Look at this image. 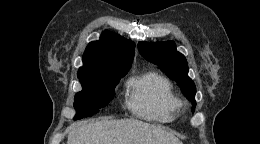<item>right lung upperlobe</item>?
<instances>
[{"instance_id":"cb5924a9","label":"right lung upper lobe","mask_w":260,"mask_h":144,"mask_svg":"<svg viewBox=\"0 0 260 144\" xmlns=\"http://www.w3.org/2000/svg\"><path fill=\"white\" fill-rule=\"evenodd\" d=\"M134 42L104 31L99 41L90 42L83 54L78 76L128 71L134 58Z\"/></svg>"}]
</instances>
